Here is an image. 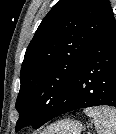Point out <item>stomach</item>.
Masks as SVG:
<instances>
[{"instance_id": "0dacf381", "label": "stomach", "mask_w": 116, "mask_h": 134, "mask_svg": "<svg viewBox=\"0 0 116 134\" xmlns=\"http://www.w3.org/2000/svg\"><path fill=\"white\" fill-rule=\"evenodd\" d=\"M83 129L79 121L66 119L50 125L41 134H81Z\"/></svg>"}]
</instances>
